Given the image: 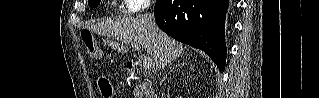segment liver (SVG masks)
I'll list each match as a JSON object with an SVG mask.
<instances>
[{"label":"liver","instance_id":"liver-1","mask_svg":"<svg viewBox=\"0 0 319 98\" xmlns=\"http://www.w3.org/2000/svg\"><path fill=\"white\" fill-rule=\"evenodd\" d=\"M93 32L102 36L115 37L121 44L105 41L118 52L127 53L129 43H138L144 47L154 62V66L162 70L167 64L181 58L184 54L183 44L162 32L158 27L150 30L143 17H122L105 20L89 26ZM125 43L126 45H123Z\"/></svg>","mask_w":319,"mask_h":98}]
</instances>
